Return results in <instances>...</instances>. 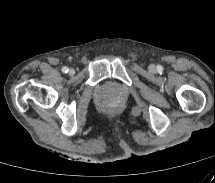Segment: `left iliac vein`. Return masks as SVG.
Instances as JSON below:
<instances>
[{"instance_id":"obj_1","label":"left iliac vein","mask_w":215,"mask_h":183,"mask_svg":"<svg viewBox=\"0 0 215 183\" xmlns=\"http://www.w3.org/2000/svg\"><path fill=\"white\" fill-rule=\"evenodd\" d=\"M150 69H151V70H154L155 68H154V66H153V65H151V66H150Z\"/></svg>"}]
</instances>
